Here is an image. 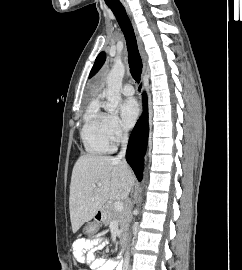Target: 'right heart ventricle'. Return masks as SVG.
<instances>
[{
  "mask_svg": "<svg viewBox=\"0 0 242 270\" xmlns=\"http://www.w3.org/2000/svg\"><path fill=\"white\" fill-rule=\"evenodd\" d=\"M108 115L100 110L99 101L93 100L83 117L81 141L87 153L103 154L114 149L108 127Z\"/></svg>",
  "mask_w": 242,
  "mask_h": 270,
  "instance_id": "right-heart-ventricle-1",
  "label": "right heart ventricle"
}]
</instances>
